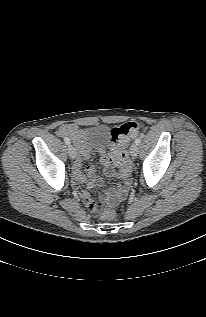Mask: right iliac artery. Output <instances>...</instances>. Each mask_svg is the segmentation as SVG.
<instances>
[{
  "mask_svg": "<svg viewBox=\"0 0 206 317\" xmlns=\"http://www.w3.org/2000/svg\"><path fill=\"white\" fill-rule=\"evenodd\" d=\"M64 142H65L67 145H70V143H71V142H70V139L67 138V137L64 138Z\"/></svg>",
  "mask_w": 206,
  "mask_h": 317,
  "instance_id": "82829eb1",
  "label": "right iliac artery"
}]
</instances>
